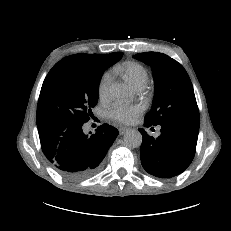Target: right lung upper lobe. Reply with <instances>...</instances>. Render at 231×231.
<instances>
[{
	"instance_id": "right-lung-upper-lobe-1",
	"label": "right lung upper lobe",
	"mask_w": 231,
	"mask_h": 231,
	"mask_svg": "<svg viewBox=\"0 0 231 231\" xmlns=\"http://www.w3.org/2000/svg\"><path fill=\"white\" fill-rule=\"evenodd\" d=\"M105 56H108V55L79 53V54H75V55H70L68 57H75V58H100V57H105Z\"/></svg>"
}]
</instances>
